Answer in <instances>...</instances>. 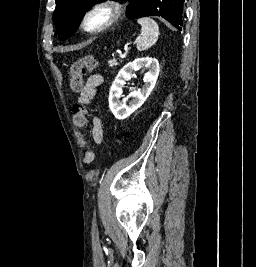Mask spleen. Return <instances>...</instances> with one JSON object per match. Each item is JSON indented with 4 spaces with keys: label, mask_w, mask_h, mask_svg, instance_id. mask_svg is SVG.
<instances>
[{
    "label": "spleen",
    "mask_w": 256,
    "mask_h": 267,
    "mask_svg": "<svg viewBox=\"0 0 256 267\" xmlns=\"http://www.w3.org/2000/svg\"><path fill=\"white\" fill-rule=\"evenodd\" d=\"M137 22L141 26L137 50H139V52H144V50H148V48L156 44L159 36V26L154 20H151V18H140Z\"/></svg>",
    "instance_id": "spleen-1"
}]
</instances>
